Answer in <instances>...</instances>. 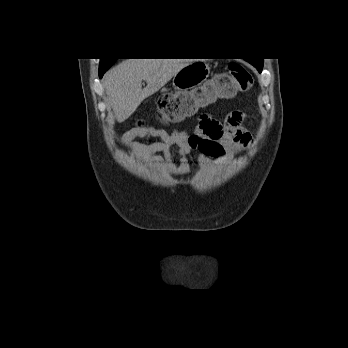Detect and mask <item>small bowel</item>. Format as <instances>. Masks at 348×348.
<instances>
[{
    "label": "small bowel",
    "mask_w": 348,
    "mask_h": 348,
    "mask_svg": "<svg viewBox=\"0 0 348 348\" xmlns=\"http://www.w3.org/2000/svg\"><path fill=\"white\" fill-rule=\"evenodd\" d=\"M150 133L160 141L136 147L137 157H150L153 164H162L166 158H170L171 148L175 147L179 163L167 164L166 167L177 175L189 172V156L194 152L198 153L197 163L206 171L213 163L224 159L227 149L239 150L252 142L244 114L238 110L229 112L223 124L216 123L209 115H202L193 132L176 129L171 133L161 130H151Z\"/></svg>",
    "instance_id": "1"
}]
</instances>
